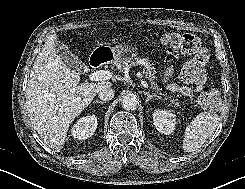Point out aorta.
<instances>
[{"label": "aorta", "mask_w": 245, "mask_h": 189, "mask_svg": "<svg viewBox=\"0 0 245 189\" xmlns=\"http://www.w3.org/2000/svg\"><path fill=\"white\" fill-rule=\"evenodd\" d=\"M138 106V99L135 95L133 94H128L124 96L122 100V107L125 110H135Z\"/></svg>", "instance_id": "762f6f07"}]
</instances>
